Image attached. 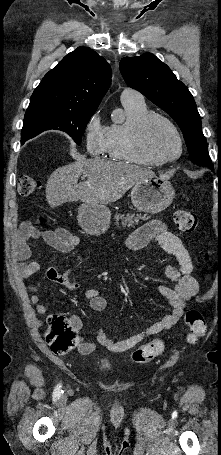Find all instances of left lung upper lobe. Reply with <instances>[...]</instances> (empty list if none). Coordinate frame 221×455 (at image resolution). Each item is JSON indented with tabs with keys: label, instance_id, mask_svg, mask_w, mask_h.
Here are the masks:
<instances>
[{
	"label": "left lung upper lobe",
	"instance_id": "left-lung-upper-lobe-1",
	"mask_svg": "<svg viewBox=\"0 0 221 455\" xmlns=\"http://www.w3.org/2000/svg\"><path fill=\"white\" fill-rule=\"evenodd\" d=\"M120 71L129 87L141 92L179 125L191 162L209 167L212 162L194 98L170 68L152 53H145L122 58Z\"/></svg>",
	"mask_w": 221,
	"mask_h": 455
}]
</instances>
